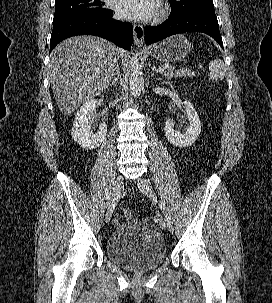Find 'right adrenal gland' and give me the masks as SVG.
Wrapping results in <instances>:
<instances>
[{"instance_id":"2a0ac1e0","label":"right adrenal gland","mask_w":272,"mask_h":303,"mask_svg":"<svg viewBox=\"0 0 272 303\" xmlns=\"http://www.w3.org/2000/svg\"><path fill=\"white\" fill-rule=\"evenodd\" d=\"M119 75L118 73H116V75L113 77L111 83L109 84L110 87H112L113 85L116 84V82L118 81Z\"/></svg>"}]
</instances>
